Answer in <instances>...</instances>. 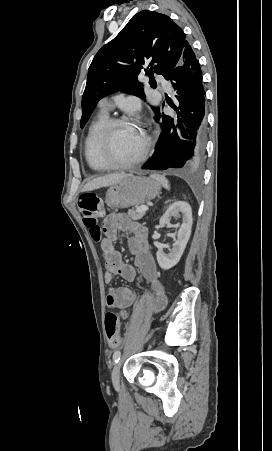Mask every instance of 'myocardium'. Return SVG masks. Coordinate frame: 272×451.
I'll return each instance as SVG.
<instances>
[{
    "mask_svg": "<svg viewBox=\"0 0 272 451\" xmlns=\"http://www.w3.org/2000/svg\"><path fill=\"white\" fill-rule=\"evenodd\" d=\"M118 124H132L128 118H109L104 123L103 128L98 138L99 156L104 169H119L122 168L121 162H114L111 159L112 155V142L111 133L114 126ZM146 143H138L132 150L131 156L128 158V162H134L139 158L142 152L145 150Z\"/></svg>",
    "mask_w": 272,
    "mask_h": 451,
    "instance_id": "f54148a6",
    "label": "myocardium"
}]
</instances>
